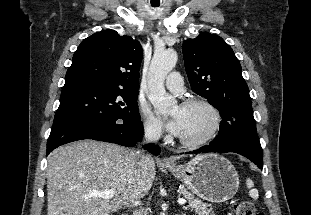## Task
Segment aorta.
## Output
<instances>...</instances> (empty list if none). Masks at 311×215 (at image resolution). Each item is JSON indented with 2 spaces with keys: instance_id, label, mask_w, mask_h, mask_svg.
<instances>
[{
  "instance_id": "obj_1",
  "label": "aorta",
  "mask_w": 311,
  "mask_h": 215,
  "mask_svg": "<svg viewBox=\"0 0 311 215\" xmlns=\"http://www.w3.org/2000/svg\"><path fill=\"white\" fill-rule=\"evenodd\" d=\"M177 53L174 50L155 52L148 73V99L155 111L166 116L172 113L176 100L166 93L164 81L167 74L177 63Z\"/></svg>"
}]
</instances>
